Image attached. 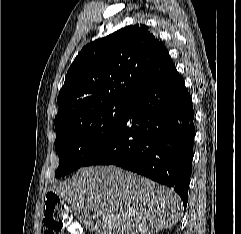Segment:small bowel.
Instances as JSON below:
<instances>
[{
	"mask_svg": "<svg viewBox=\"0 0 241 234\" xmlns=\"http://www.w3.org/2000/svg\"><path fill=\"white\" fill-rule=\"evenodd\" d=\"M46 234H56V233L48 231Z\"/></svg>",
	"mask_w": 241,
	"mask_h": 234,
	"instance_id": "c3829d8e",
	"label": "small bowel"
}]
</instances>
